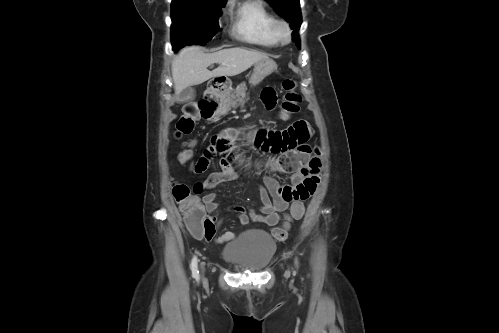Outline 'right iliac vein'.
Masks as SVG:
<instances>
[{
  "mask_svg": "<svg viewBox=\"0 0 499 333\" xmlns=\"http://www.w3.org/2000/svg\"><path fill=\"white\" fill-rule=\"evenodd\" d=\"M202 270L204 269L203 265L201 266Z\"/></svg>",
  "mask_w": 499,
  "mask_h": 333,
  "instance_id": "63e3f726",
  "label": "right iliac vein"
}]
</instances>
